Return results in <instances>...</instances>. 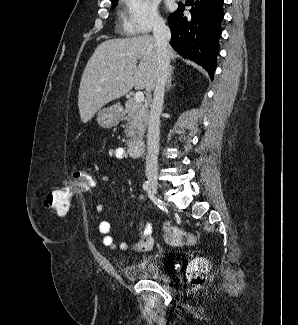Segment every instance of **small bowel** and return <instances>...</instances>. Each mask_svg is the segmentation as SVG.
Returning a JSON list of instances; mask_svg holds the SVG:
<instances>
[{
  "mask_svg": "<svg viewBox=\"0 0 298 325\" xmlns=\"http://www.w3.org/2000/svg\"><path fill=\"white\" fill-rule=\"evenodd\" d=\"M108 156L117 160H124L128 158L127 152L122 147H112L108 150ZM100 179L104 182H108L111 179L110 173L107 171H102L100 173ZM138 200L143 203L144 202V196L139 195ZM96 210L98 213L102 214L105 212V206L102 203H99L96 207ZM99 233L102 235V244L109 248H116V244L114 242V238L110 234L111 232V224L109 221L103 220L99 223L98 226ZM143 234L145 235H151V226L150 224L147 225L145 228ZM121 249H127L128 244L123 242L119 245Z\"/></svg>",
  "mask_w": 298,
  "mask_h": 325,
  "instance_id": "c3829d8e",
  "label": "small bowel"
}]
</instances>
